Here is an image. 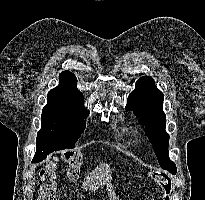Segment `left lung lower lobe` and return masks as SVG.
I'll return each mask as SVG.
<instances>
[{
    "label": "left lung lower lobe",
    "mask_w": 205,
    "mask_h": 200,
    "mask_svg": "<svg viewBox=\"0 0 205 200\" xmlns=\"http://www.w3.org/2000/svg\"><path fill=\"white\" fill-rule=\"evenodd\" d=\"M168 171L171 172V173H173V174H176L177 169L175 168V169L168 170Z\"/></svg>",
    "instance_id": "0a47b994"
}]
</instances>
